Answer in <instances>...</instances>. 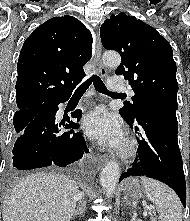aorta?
Wrapping results in <instances>:
<instances>
[{"mask_svg":"<svg viewBox=\"0 0 190 221\" xmlns=\"http://www.w3.org/2000/svg\"><path fill=\"white\" fill-rule=\"evenodd\" d=\"M121 58L117 53H105L103 63L107 66L116 67L120 64ZM120 177V167L117 162L107 163L100 174V184L106 196L111 198L115 193Z\"/></svg>","mask_w":190,"mask_h":221,"instance_id":"1","label":"aorta"}]
</instances>
